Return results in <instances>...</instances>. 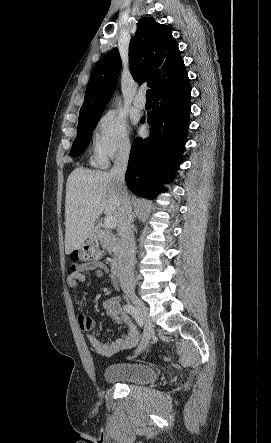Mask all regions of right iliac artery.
I'll return each mask as SVG.
<instances>
[{
	"label": "right iliac artery",
	"instance_id": "right-iliac-artery-1",
	"mask_svg": "<svg viewBox=\"0 0 271 443\" xmlns=\"http://www.w3.org/2000/svg\"><path fill=\"white\" fill-rule=\"evenodd\" d=\"M123 309L135 319L136 323L140 327H143V319L136 307H134L133 305L127 304V305H124Z\"/></svg>",
	"mask_w": 271,
	"mask_h": 443
}]
</instances>
